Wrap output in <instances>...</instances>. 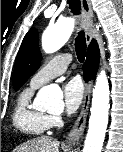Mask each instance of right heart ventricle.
I'll return each instance as SVG.
<instances>
[{
	"label": "right heart ventricle",
	"mask_w": 123,
	"mask_h": 152,
	"mask_svg": "<svg viewBox=\"0 0 123 152\" xmlns=\"http://www.w3.org/2000/svg\"><path fill=\"white\" fill-rule=\"evenodd\" d=\"M35 89L30 86L19 95L12 120L14 126L21 132L41 136L50 128L49 115L31 106V98Z\"/></svg>",
	"instance_id": "obj_1"
}]
</instances>
